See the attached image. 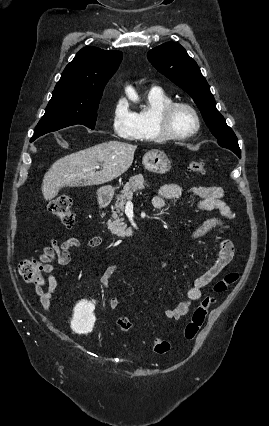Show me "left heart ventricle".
Segmentation results:
<instances>
[{
    "mask_svg": "<svg viewBox=\"0 0 269 426\" xmlns=\"http://www.w3.org/2000/svg\"><path fill=\"white\" fill-rule=\"evenodd\" d=\"M172 129L177 133H186L194 129L195 119L190 111L185 108H178L173 113L171 119Z\"/></svg>",
    "mask_w": 269,
    "mask_h": 426,
    "instance_id": "1",
    "label": "left heart ventricle"
}]
</instances>
